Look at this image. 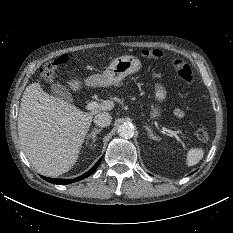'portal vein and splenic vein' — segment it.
<instances>
[{
  "mask_svg": "<svg viewBox=\"0 0 233 233\" xmlns=\"http://www.w3.org/2000/svg\"><path fill=\"white\" fill-rule=\"evenodd\" d=\"M100 107V104L98 103V102H90V103H88L87 104V106H86V109L87 110H96V109H98ZM163 131H166V132H168L169 134H170V136H174V137H176V139L179 141V138L177 137V133H181L182 134V132L181 131H172V130H167L166 128H163Z\"/></svg>",
  "mask_w": 233,
  "mask_h": 233,
  "instance_id": "portal-vein-and-splenic-vein-1",
  "label": "portal vein and splenic vein"
}]
</instances>
